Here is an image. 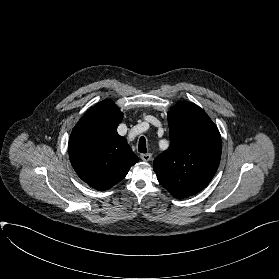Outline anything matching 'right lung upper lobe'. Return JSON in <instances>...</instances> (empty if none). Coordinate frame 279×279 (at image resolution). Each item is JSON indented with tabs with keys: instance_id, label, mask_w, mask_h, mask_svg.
I'll return each mask as SVG.
<instances>
[{
	"instance_id": "obj_1",
	"label": "right lung upper lobe",
	"mask_w": 279,
	"mask_h": 279,
	"mask_svg": "<svg viewBox=\"0 0 279 279\" xmlns=\"http://www.w3.org/2000/svg\"><path fill=\"white\" fill-rule=\"evenodd\" d=\"M123 113L106 99L88 110L72 130L69 157L78 176L91 187L108 190L138 162L124 137L117 133Z\"/></svg>"
}]
</instances>
